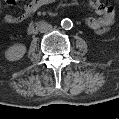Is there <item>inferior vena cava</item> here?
I'll list each match as a JSON object with an SVG mask.
<instances>
[{"label":"inferior vena cava","instance_id":"obj_1","mask_svg":"<svg viewBox=\"0 0 119 119\" xmlns=\"http://www.w3.org/2000/svg\"><path fill=\"white\" fill-rule=\"evenodd\" d=\"M39 30L41 33H47V32H50L52 30V26L48 23H44L40 26Z\"/></svg>","mask_w":119,"mask_h":119}]
</instances>
